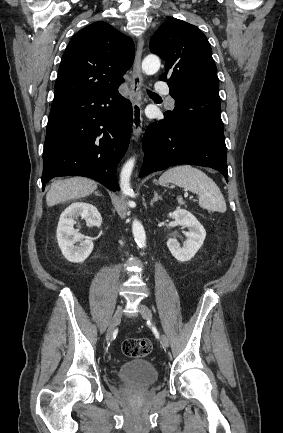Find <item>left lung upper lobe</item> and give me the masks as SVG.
Returning <instances> with one entry per match:
<instances>
[{"label":"left lung upper lobe","mask_w":283,"mask_h":433,"mask_svg":"<svg viewBox=\"0 0 283 433\" xmlns=\"http://www.w3.org/2000/svg\"><path fill=\"white\" fill-rule=\"evenodd\" d=\"M150 50L165 61L166 81L175 99L173 117L205 119L223 129L217 69L206 36L179 19L166 20L150 39Z\"/></svg>","instance_id":"obj_1"}]
</instances>
